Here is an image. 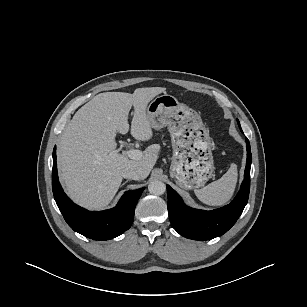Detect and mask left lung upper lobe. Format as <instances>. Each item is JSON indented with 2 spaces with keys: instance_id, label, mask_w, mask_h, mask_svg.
Returning a JSON list of instances; mask_svg holds the SVG:
<instances>
[{
  "instance_id": "1",
  "label": "left lung upper lobe",
  "mask_w": 307,
  "mask_h": 307,
  "mask_svg": "<svg viewBox=\"0 0 307 307\" xmlns=\"http://www.w3.org/2000/svg\"><path fill=\"white\" fill-rule=\"evenodd\" d=\"M238 124H239V121H238ZM239 127H240V124H239ZM240 129H241V127H240Z\"/></svg>"
}]
</instances>
